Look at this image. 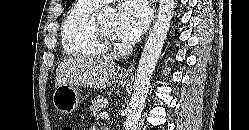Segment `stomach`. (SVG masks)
I'll return each mask as SVG.
<instances>
[{
    "mask_svg": "<svg viewBox=\"0 0 249 130\" xmlns=\"http://www.w3.org/2000/svg\"><path fill=\"white\" fill-rule=\"evenodd\" d=\"M118 82L124 86L128 79L120 77ZM81 99L79 90L73 85H61L55 89L53 94V104L62 114L72 113L81 103Z\"/></svg>",
    "mask_w": 249,
    "mask_h": 130,
    "instance_id": "1",
    "label": "stomach"
}]
</instances>
